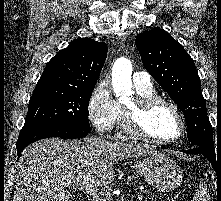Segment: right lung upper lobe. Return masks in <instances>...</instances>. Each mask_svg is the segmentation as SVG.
<instances>
[{
  "instance_id": "right-lung-upper-lobe-1",
  "label": "right lung upper lobe",
  "mask_w": 221,
  "mask_h": 201,
  "mask_svg": "<svg viewBox=\"0 0 221 201\" xmlns=\"http://www.w3.org/2000/svg\"><path fill=\"white\" fill-rule=\"evenodd\" d=\"M106 57L104 42L76 39L48 62L35 89L93 90Z\"/></svg>"
}]
</instances>
